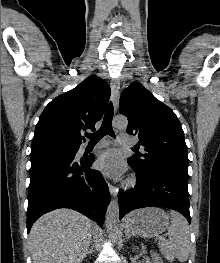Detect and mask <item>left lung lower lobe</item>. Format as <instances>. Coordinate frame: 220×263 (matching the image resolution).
I'll return each mask as SVG.
<instances>
[{
    "mask_svg": "<svg viewBox=\"0 0 220 263\" xmlns=\"http://www.w3.org/2000/svg\"><path fill=\"white\" fill-rule=\"evenodd\" d=\"M137 174L134 189L119 191L120 219L128 212L149 206L166 207L180 212L190 223L188 179L172 171H140L128 159Z\"/></svg>",
    "mask_w": 220,
    "mask_h": 263,
    "instance_id": "obj_1",
    "label": "left lung lower lobe"
}]
</instances>
